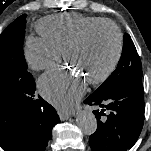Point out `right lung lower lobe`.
I'll return each instance as SVG.
<instances>
[{
  "instance_id": "98d812e1",
  "label": "right lung lower lobe",
  "mask_w": 151,
  "mask_h": 151,
  "mask_svg": "<svg viewBox=\"0 0 151 151\" xmlns=\"http://www.w3.org/2000/svg\"><path fill=\"white\" fill-rule=\"evenodd\" d=\"M8 78L0 75V93L5 92ZM22 99L19 105L21 111L18 148L16 151H45L48 141L52 138V129L60 121L55 109L40 96L35 99L36 90L33 76H23L20 79Z\"/></svg>"
}]
</instances>
